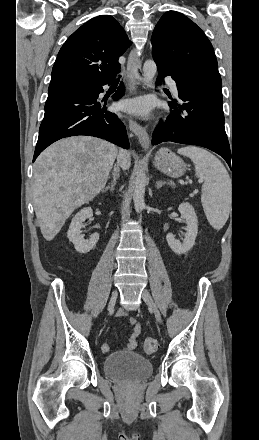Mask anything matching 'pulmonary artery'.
I'll list each match as a JSON object with an SVG mask.
<instances>
[{
    "mask_svg": "<svg viewBox=\"0 0 259 440\" xmlns=\"http://www.w3.org/2000/svg\"><path fill=\"white\" fill-rule=\"evenodd\" d=\"M165 80H166V82L168 83V85L170 86V88H171V90L173 91V93H174L175 95H177V94H178V87H177V83H176V81L173 80V79L170 78V77H167Z\"/></svg>",
    "mask_w": 259,
    "mask_h": 440,
    "instance_id": "pulmonary-artery-1",
    "label": "pulmonary artery"
}]
</instances>
